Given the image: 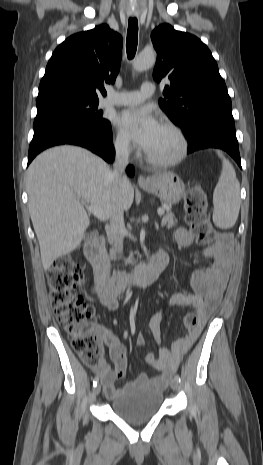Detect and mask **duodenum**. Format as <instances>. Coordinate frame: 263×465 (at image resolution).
<instances>
[{
    "label": "duodenum",
    "instance_id": "1",
    "mask_svg": "<svg viewBox=\"0 0 263 465\" xmlns=\"http://www.w3.org/2000/svg\"><path fill=\"white\" fill-rule=\"evenodd\" d=\"M84 253L93 267L94 280L100 294L119 296L126 289L142 288L155 282L168 264V255L161 252L143 269L133 273L110 275L105 239L95 238L85 244Z\"/></svg>",
    "mask_w": 263,
    "mask_h": 465
}]
</instances>
